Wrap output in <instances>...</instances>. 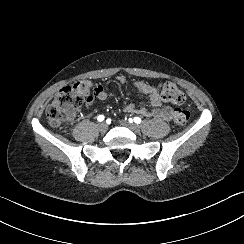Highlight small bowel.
I'll use <instances>...</instances> for the list:
<instances>
[{
    "label": "small bowel",
    "instance_id": "obj_1",
    "mask_svg": "<svg viewBox=\"0 0 244 244\" xmlns=\"http://www.w3.org/2000/svg\"><path fill=\"white\" fill-rule=\"evenodd\" d=\"M117 80L122 84L127 82L123 75L117 76ZM132 85L140 95L147 97V102L152 108L149 110L145 106H137L129 103L124 106L125 112L130 114H139L147 118L163 119L165 121H169L172 118L173 109L164 102L163 98L154 86L143 81H134L132 82ZM95 97L99 101H105L108 99L109 93L107 84L101 83L97 86ZM87 106L92 107L91 100L88 101Z\"/></svg>",
    "mask_w": 244,
    "mask_h": 244
}]
</instances>
